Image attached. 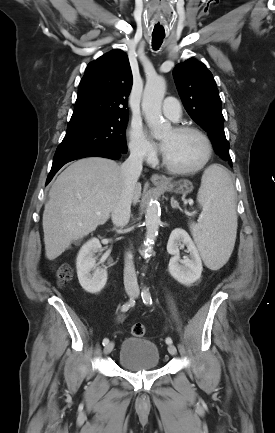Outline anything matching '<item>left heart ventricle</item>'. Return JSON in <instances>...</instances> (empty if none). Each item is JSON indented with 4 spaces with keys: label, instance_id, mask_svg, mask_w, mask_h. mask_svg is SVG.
I'll list each match as a JSON object with an SVG mask.
<instances>
[{
    "label": "left heart ventricle",
    "instance_id": "left-heart-ventricle-1",
    "mask_svg": "<svg viewBox=\"0 0 275 433\" xmlns=\"http://www.w3.org/2000/svg\"><path fill=\"white\" fill-rule=\"evenodd\" d=\"M161 142L165 156L176 167H195L206 154L204 141L194 133H177L171 129L161 137Z\"/></svg>",
    "mask_w": 275,
    "mask_h": 433
}]
</instances>
